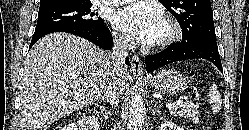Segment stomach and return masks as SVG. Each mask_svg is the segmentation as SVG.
Returning a JSON list of instances; mask_svg holds the SVG:
<instances>
[{
  "instance_id": "1",
  "label": "stomach",
  "mask_w": 249,
  "mask_h": 130,
  "mask_svg": "<svg viewBox=\"0 0 249 130\" xmlns=\"http://www.w3.org/2000/svg\"><path fill=\"white\" fill-rule=\"evenodd\" d=\"M152 88L162 94H179L187 87V80L182 73L172 69H164L148 79Z\"/></svg>"
}]
</instances>
